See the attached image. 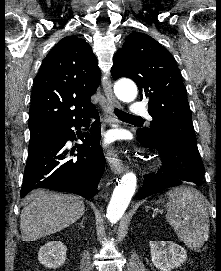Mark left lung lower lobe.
Listing matches in <instances>:
<instances>
[{
	"instance_id": "1",
	"label": "left lung lower lobe",
	"mask_w": 221,
	"mask_h": 271,
	"mask_svg": "<svg viewBox=\"0 0 221 271\" xmlns=\"http://www.w3.org/2000/svg\"><path fill=\"white\" fill-rule=\"evenodd\" d=\"M137 138L144 147L157 148L162 158L161 169L157 173L145 175L139 200L178 186L183 181L194 182L198 186L202 183L204 165L197 146L162 129H154L150 134L137 130Z\"/></svg>"
}]
</instances>
